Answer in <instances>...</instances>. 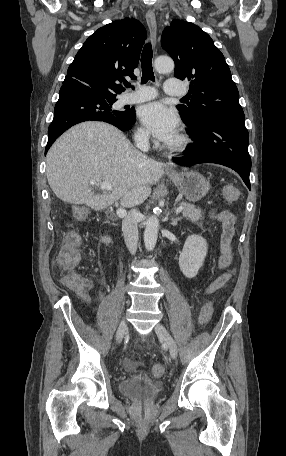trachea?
Masks as SVG:
<instances>
[{
	"label": "trachea",
	"instance_id": "obj_1",
	"mask_svg": "<svg viewBox=\"0 0 286 456\" xmlns=\"http://www.w3.org/2000/svg\"><path fill=\"white\" fill-rule=\"evenodd\" d=\"M141 67H142V83H147L148 80L155 81L153 68H152V47L147 43L141 54ZM125 87H131L130 83H124ZM134 89V87H132ZM185 99V98H182Z\"/></svg>",
	"mask_w": 286,
	"mask_h": 456
}]
</instances>
